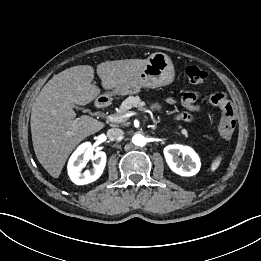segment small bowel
Segmentation results:
<instances>
[{
  "label": "small bowel",
  "mask_w": 261,
  "mask_h": 261,
  "mask_svg": "<svg viewBox=\"0 0 261 261\" xmlns=\"http://www.w3.org/2000/svg\"><path fill=\"white\" fill-rule=\"evenodd\" d=\"M198 96L195 93L189 92L186 93L183 97V105L186 108V111L179 115V119L190 121L192 120V113L198 111V106L196 105V100Z\"/></svg>",
  "instance_id": "obj_1"
}]
</instances>
